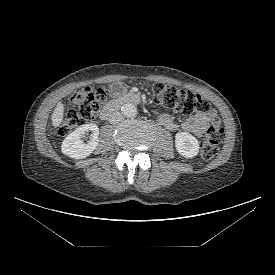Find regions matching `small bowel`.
<instances>
[{"mask_svg": "<svg viewBox=\"0 0 275 275\" xmlns=\"http://www.w3.org/2000/svg\"><path fill=\"white\" fill-rule=\"evenodd\" d=\"M124 90V86L120 82H116L112 84L109 88V92L111 95L116 96L122 93ZM216 117L214 111H208L204 113H197L193 116H190L185 121L180 124L175 123L172 118L166 114H163L159 117V122L169 130H177L182 129L187 132H191L197 136L203 134L204 130L208 126L210 122Z\"/></svg>", "mask_w": 275, "mask_h": 275, "instance_id": "small-bowel-1", "label": "small bowel"}]
</instances>
